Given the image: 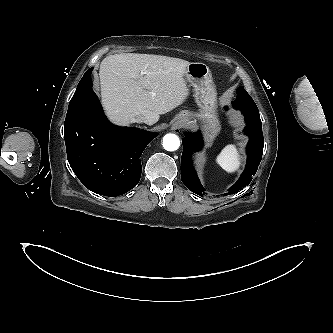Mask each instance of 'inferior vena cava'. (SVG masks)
Listing matches in <instances>:
<instances>
[{
  "label": "inferior vena cava",
  "instance_id": "inferior-vena-cava-1",
  "mask_svg": "<svg viewBox=\"0 0 333 333\" xmlns=\"http://www.w3.org/2000/svg\"><path fill=\"white\" fill-rule=\"evenodd\" d=\"M134 122H137V123H148V119L144 116H137L135 119H134Z\"/></svg>",
  "mask_w": 333,
  "mask_h": 333
}]
</instances>
